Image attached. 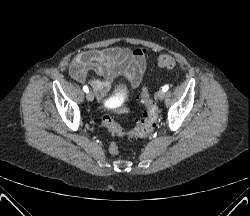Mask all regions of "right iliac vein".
Masks as SVG:
<instances>
[{
	"label": "right iliac vein",
	"mask_w": 250,
	"mask_h": 216,
	"mask_svg": "<svg viewBox=\"0 0 250 216\" xmlns=\"http://www.w3.org/2000/svg\"><path fill=\"white\" fill-rule=\"evenodd\" d=\"M86 98L88 101H93V99H94L93 93L91 91L90 92L88 91L86 94Z\"/></svg>",
	"instance_id": "1"
}]
</instances>
